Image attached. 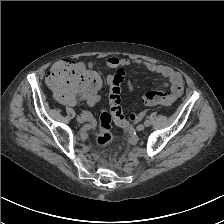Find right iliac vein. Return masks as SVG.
<instances>
[{
	"label": "right iliac vein",
	"instance_id": "63e3f726",
	"mask_svg": "<svg viewBox=\"0 0 224 224\" xmlns=\"http://www.w3.org/2000/svg\"><path fill=\"white\" fill-rule=\"evenodd\" d=\"M76 119H77L78 123L82 124L85 122V119L81 115H78Z\"/></svg>",
	"mask_w": 224,
	"mask_h": 224
}]
</instances>
